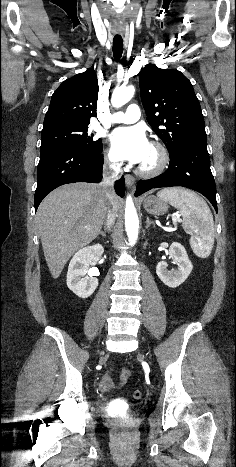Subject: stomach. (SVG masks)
<instances>
[{
  "label": "stomach",
  "mask_w": 236,
  "mask_h": 467,
  "mask_svg": "<svg viewBox=\"0 0 236 467\" xmlns=\"http://www.w3.org/2000/svg\"><path fill=\"white\" fill-rule=\"evenodd\" d=\"M143 206L147 213L152 215H163L168 211L167 202L156 196H148L143 200Z\"/></svg>",
  "instance_id": "stomach-1"
}]
</instances>
